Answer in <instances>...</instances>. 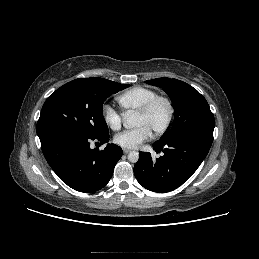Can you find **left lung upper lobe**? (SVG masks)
I'll use <instances>...</instances> for the list:
<instances>
[{
    "label": "left lung upper lobe",
    "mask_w": 259,
    "mask_h": 259,
    "mask_svg": "<svg viewBox=\"0 0 259 259\" xmlns=\"http://www.w3.org/2000/svg\"><path fill=\"white\" fill-rule=\"evenodd\" d=\"M147 84L161 87L170 97L175 115L171 130L162 141L180 135H201L213 140L214 115L206 99L191 85L170 78H157Z\"/></svg>",
    "instance_id": "obj_1"
}]
</instances>
